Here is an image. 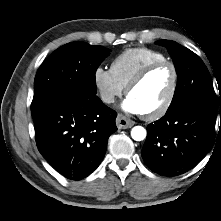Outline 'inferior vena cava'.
I'll list each match as a JSON object with an SVG mask.
<instances>
[{
    "mask_svg": "<svg viewBox=\"0 0 221 221\" xmlns=\"http://www.w3.org/2000/svg\"><path fill=\"white\" fill-rule=\"evenodd\" d=\"M101 99L104 103H108V104L113 103L114 102V95L104 93V94H102Z\"/></svg>",
    "mask_w": 221,
    "mask_h": 221,
    "instance_id": "inferior-vena-cava-1",
    "label": "inferior vena cava"
}]
</instances>
